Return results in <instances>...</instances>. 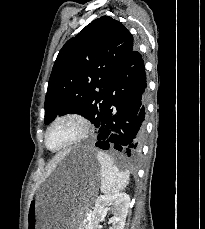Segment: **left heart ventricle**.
<instances>
[{
  "mask_svg": "<svg viewBox=\"0 0 205 229\" xmlns=\"http://www.w3.org/2000/svg\"><path fill=\"white\" fill-rule=\"evenodd\" d=\"M76 133L75 124L71 122L59 123L49 133L48 144L51 148H57L72 139Z\"/></svg>",
  "mask_w": 205,
  "mask_h": 229,
  "instance_id": "left-heart-ventricle-1",
  "label": "left heart ventricle"
}]
</instances>
